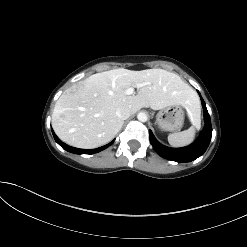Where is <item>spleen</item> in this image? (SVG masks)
Returning <instances> with one entry per match:
<instances>
[{
	"label": "spleen",
	"mask_w": 247,
	"mask_h": 247,
	"mask_svg": "<svg viewBox=\"0 0 247 247\" xmlns=\"http://www.w3.org/2000/svg\"><path fill=\"white\" fill-rule=\"evenodd\" d=\"M190 120L193 124L189 129L182 132L168 135V142L173 147H183L191 144L195 137V128L200 124V106L192 108L188 112Z\"/></svg>",
	"instance_id": "3e777b00"
}]
</instances>
